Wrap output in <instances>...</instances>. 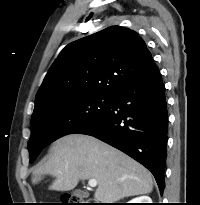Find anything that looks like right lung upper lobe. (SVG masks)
<instances>
[{
	"label": "right lung upper lobe",
	"instance_id": "cb5924a9",
	"mask_svg": "<svg viewBox=\"0 0 200 205\" xmlns=\"http://www.w3.org/2000/svg\"><path fill=\"white\" fill-rule=\"evenodd\" d=\"M154 62L133 30L111 26L67 45L45 76L32 116L57 102L86 95L113 97Z\"/></svg>",
	"mask_w": 200,
	"mask_h": 205
}]
</instances>
